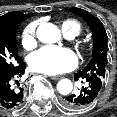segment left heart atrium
<instances>
[{"instance_id":"39dd6f15","label":"left heart atrium","mask_w":117,"mask_h":117,"mask_svg":"<svg viewBox=\"0 0 117 117\" xmlns=\"http://www.w3.org/2000/svg\"><path fill=\"white\" fill-rule=\"evenodd\" d=\"M77 63V57L72 50L58 46H45L33 53L29 59L33 70L49 75L70 71Z\"/></svg>"}]
</instances>
